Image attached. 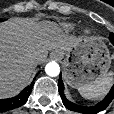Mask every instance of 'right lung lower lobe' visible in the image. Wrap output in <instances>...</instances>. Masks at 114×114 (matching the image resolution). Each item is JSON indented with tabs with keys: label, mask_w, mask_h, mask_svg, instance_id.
Masks as SVG:
<instances>
[{
	"label": "right lung lower lobe",
	"mask_w": 114,
	"mask_h": 114,
	"mask_svg": "<svg viewBox=\"0 0 114 114\" xmlns=\"http://www.w3.org/2000/svg\"><path fill=\"white\" fill-rule=\"evenodd\" d=\"M33 83L31 86H28L23 89L19 95L13 98L0 100V112L12 110L14 108L24 105L28 100L29 95L31 94Z\"/></svg>",
	"instance_id": "98d812e1"
}]
</instances>
